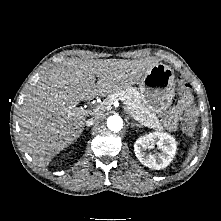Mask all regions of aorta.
Segmentation results:
<instances>
[{"label":"aorta","instance_id":"1","mask_svg":"<svg viewBox=\"0 0 221 221\" xmlns=\"http://www.w3.org/2000/svg\"><path fill=\"white\" fill-rule=\"evenodd\" d=\"M107 127L111 131H120L123 127V120L119 115H112L107 118Z\"/></svg>","mask_w":221,"mask_h":221}]
</instances>
